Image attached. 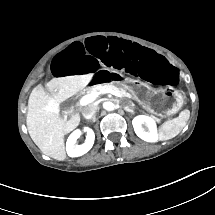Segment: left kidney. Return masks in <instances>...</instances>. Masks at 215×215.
I'll return each mask as SVG.
<instances>
[{
    "instance_id": "1",
    "label": "left kidney",
    "mask_w": 215,
    "mask_h": 215,
    "mask_svg": "<svg viewBox=\"0 0 215 215\" xmlns=\"http://www.w3.org/2000/svg\"><path fill=\"white\" fill-rule=\"evenodd\" d=\"M147 124L148 131L145 130L143 124ZM132 125L134 127L135 133L142 140L147 142H157L158 141V129L156 121L145 115H138L133 118ZM140 133H143L145 137L141 136Z\"/></svg>"
}]
</instances>
